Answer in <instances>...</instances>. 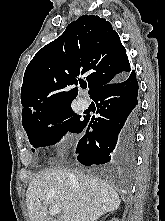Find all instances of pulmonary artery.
I'll return each mask as SVG.
<instances>
[{"label": "pulmonary artery", "instance_id": "pulmonary-artery-1", "mask_svg": "<svg viewBox=\"0 0 165 221\" xmlns=\"http://www.w3.org/2000/svg\"><path fill=\"white\" fill-rule=\"evenodd\" d=\"M90 105V102L85 99V98H82L78 101V106L81 110H86Z\"/></svg>", "mask_w": 165, "mask_h": 221}]
</instances>
